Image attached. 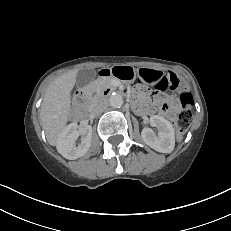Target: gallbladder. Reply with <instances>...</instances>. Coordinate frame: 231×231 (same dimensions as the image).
Returning a JSON list of instances; mask_svg holds the SVG:
<instances>
[{"mask_svg":"<svg viewBox=\"0 0 231 231\" xmlns=\"http://www.w3.org/2000/svg\"><path fill=\"white\" fill-rule=\"evenodd\" d=\"M94 72L89 69H82L78 72L76 77V85L79 88L84 87L93 79Z\"/></svg>","mask_w":231,"mask_h":231,"instance_id":"bac80fb5","label":"gallbladder"}]
</instances>
